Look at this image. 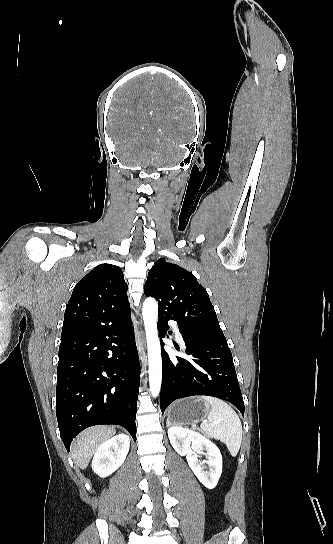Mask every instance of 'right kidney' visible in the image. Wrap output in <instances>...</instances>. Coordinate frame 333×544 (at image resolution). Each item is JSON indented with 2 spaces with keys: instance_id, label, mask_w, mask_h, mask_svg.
I'll return each mask as SVG.
<instances>
[{
  "instance_id": "ca27d5eb",
  "label": "right kidney",
  "mask_w": 333,
  "mask_h": 544,
  "mask_svg": "<svg viewBox=\"0 0 333 544\" xmlns=\"http://www.w3.org/2000/svg\"><path fill=\"white\" fill-rule=\"evenodd\" d=\"M129 448L130 439L125 434H119L105 441L94 454L93 471L102 478L111 475L124 463Z\"/></svg>"
}]
</instances>
